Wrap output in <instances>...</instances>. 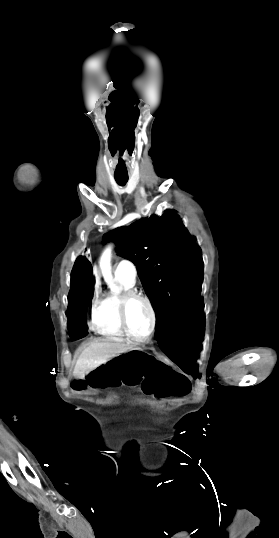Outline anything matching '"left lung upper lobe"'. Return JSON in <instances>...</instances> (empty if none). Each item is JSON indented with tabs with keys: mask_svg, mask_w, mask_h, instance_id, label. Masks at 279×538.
I'll list each match as a JSON object with an SVG mask.
<instances>
[{
	"mask_svg": "<svg viewBox=\"0 0 279 538\" xmlns=\"http://www.w3.org/2000/svg\"><path fill=\"white\" fill-rule=\"evenodd\" d=\"M120 256L137 266L156 312V333H177L204 318L201 249L173 211L104 235ZM155 333V334H156Z\"/></svg>",
	"mask_w": 279,
	"mask_h": 538,
	"instance_id": "left-lung-upper-lobe-1",
	"label": "left lung upper lobe"
}]
</instances>
